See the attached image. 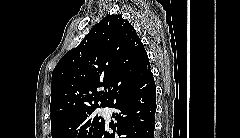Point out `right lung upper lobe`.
I'll list each match as a JSON object with an SVG mask.
<instances>
[{"label": "right lung upper lobe", "mask_w": 240, "mask_h": 138, "mask_svg": "<svg viewBox=\"0 0 240 138\" xmlns=\"http://www.w3.org/2000/svg\"><path fill=\"white\" fill-rule=\"evenodd\" d=\"M150 64L134 27L108 15L57 63L51 83V124L114 98L150 76ZM104 87L107 91L97 92Z\"/></svg>", "instance_id": "1"}]
</instances>
